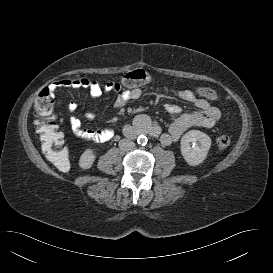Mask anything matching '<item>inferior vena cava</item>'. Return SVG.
Returning <instances> with one entry per match:
<instances>
[{
  "label": "inferior vena cava",
  "instance_id": "inferior-vena-cava-1",
  "mask_svg": "<svg viewBox=\"0 0 273 273\" xmlns=\"http://www.w3.org/2000/svg\"><path fill=\"white\" fill-rule=\"evenodd\" d=\"M135 144L129 139H122L119 141V148L123 151H130L134 148Z\"/></svg>",
  "mask_w": 273,
  "mask_h": 273
}]
</instances>
